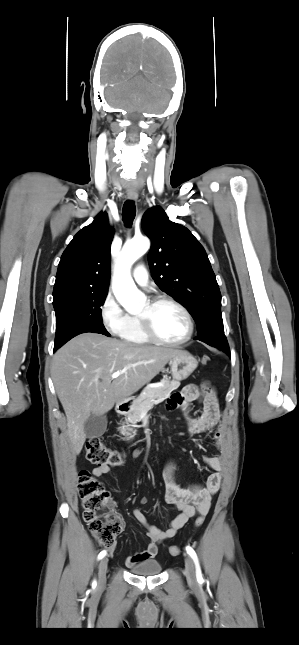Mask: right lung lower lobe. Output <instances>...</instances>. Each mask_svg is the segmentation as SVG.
Returning a JSON list of instances; mask_svg holds the SVG:
<instances>
[{
    "label": "right lung lower lobe",
    "instance_id": "98d812e1",
    "mask_svg": "<svg viewBox=\"0 0 299 645\" xmlns=\"http://www.w3.org/2000/svg\"><path fill=\"white\" fill-rule=\"evenodd\" d=\"M103 335H106V334H103ZM106 336H109V334H108V335H106ZM58 348H59V347H58ZM58 348H57V347H54V350H56V349H58Z\"/></svg>",
    "mask_w": 299,
    "mask_h": 645
}]
</instances>
